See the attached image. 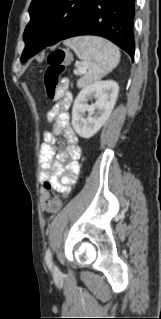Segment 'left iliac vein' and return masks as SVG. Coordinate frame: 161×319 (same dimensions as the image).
<instances>
[{
  "instance_id": "4c4485c4",
  "label": "left iliac vein",
  "mask_w": 161,
  "mask_h": 319,
  "mask_svg": "<svg viewBox=\"0 0 161 319\" xmlns=\"http://www.w3.org/2000/svg\"><path fill=\"white\" fill-rule=\"evenodd\" d=\"M58 271H59V270H58L57 266L54 265V266H53V272L56 274V273H58Z\"/></svg>"
}]
</instances>
